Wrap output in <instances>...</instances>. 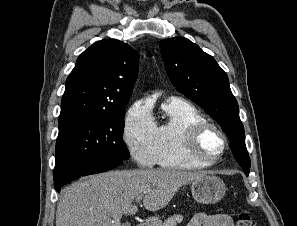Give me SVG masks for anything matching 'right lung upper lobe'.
I'll return each mask as SVG.
<instances>
[{
  "label": "right lung upper lobe",
  "mask_w": 297,
  "mask_h": 226,
  "mask_svg": "<svg viewBox=\"0 0 297 226\" xmlns=\"http://www.w3.org/2000/svg\"><path fill=\"white\" fill-rule=\"evenodd\" d=\"M138 53L128 44L101 40L77 59L65 83L59 120L125 111L138 74Z\"/></svg>",
  "instance_id": "cb5924a9"
}]
</instances>
